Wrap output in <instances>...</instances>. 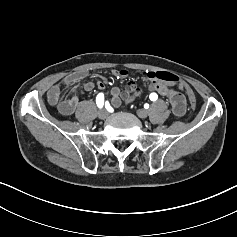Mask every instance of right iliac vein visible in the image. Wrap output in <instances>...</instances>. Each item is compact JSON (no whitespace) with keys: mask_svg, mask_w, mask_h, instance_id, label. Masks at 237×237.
Listing matches in <instances>:
<instances>
[{"mask_svg":"<svg viewBox=\"0 0 237 237\" xmlns=\"http://www.w3.org/2000/svg\"><path fill=\"white\" fill-rule=\"evenodd\" d=\"M107 116H108V112H107L106 110H101V111H99V113H98V117H99L101 120H104Z\"/></svg>","mask_w":237,"mask_h":237,"instance_id":"1","label":"right iliac vein"}]
</instances>
